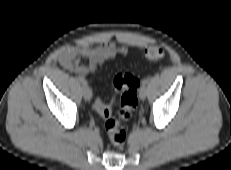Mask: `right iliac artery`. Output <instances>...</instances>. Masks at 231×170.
Listing matches in <instances>:
<instances>
[{
  "mask_svg": "<svg viewBox=\"0 0 231 170\" xmlns=\"http://www.w3.org/2000/svg\"><path fill=\"white\" fill-rule=\"evenodd\" d=\"M79 80H80V82L82 83L83 86H88V83L84 78L80 77Z\"/></svg>",
  "mask_w": 231,
  "mask_h": 170,
  "instance_id": "obj_1",
  "label": "right iliac artery"
}]
</instances>
